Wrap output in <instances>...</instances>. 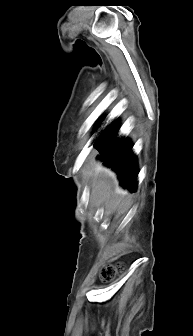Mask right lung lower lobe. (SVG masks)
Listing matches in <instances>:
<instances>
[{"label":"right lung lower lobe","mask_w":193,"mask_h":336,"mask_svg":"<svg viewBox=\"0 0 193 336\" xmlns=\"http://www.w3.org/2000/svg\"><path fill=\"white\" fill-rule=\"evenodd\" d=\"M117 126L109 125L95 141L94 147L102 152L104 163L117 173L120 182L132 191L136 190L137 162L132 145L127 139L117 138Z\"/></svg>","instance_id":"98d812e1"}]
</instances>
